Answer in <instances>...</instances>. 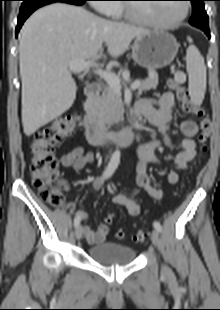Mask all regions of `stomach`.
I'll return each mask as SVG.
<instances>
[{"mask_svg": "<svg viewBox=\"0 0 220 310\" xmlns=\"http://www.w3.org/2000/svg\"><path fill=\"white\" fill-rule=\"evenodd\" d=\"M175 37L162 30H153L136 37L132 46L134 61L149 70L164 68L178 53Z\"/></svg>", "mask_w": 220, "mask_h": 310, "instance_id": "0dacf381", "label": "stomach"}]
</instances>
